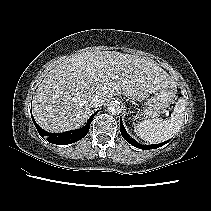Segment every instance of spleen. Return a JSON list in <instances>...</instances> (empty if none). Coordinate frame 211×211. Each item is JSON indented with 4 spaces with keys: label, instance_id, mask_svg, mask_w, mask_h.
I'll use <instances>...</instances> for the list:
<instances>
[{
    "label": "spleen",
    "instance_id": "1",
    "mask_svg": "<svg viewBox=\"0 0 211 211\" xmlns=\"http://www.w3.org/2000/svg\"><path fill=\"white\" fill-rule=\"evenodd\" d=\"M186 101L180 98L168 120H146L134 127L136 134L149 143H161L176 135L184 122Z\"/></svg>",
    "mask_w": 211,
    "mask_h": 211
}]
</instances>
